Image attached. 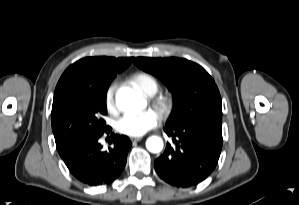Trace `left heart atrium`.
Instances as JSON below:
<instances>
[{
  "label": "left heart atrium",
  "instance_id": "obj_1",
  "mask_svg": "<svg viewBox=\"0 0 299 205\" xmlns=\"http://www.w3.org/2000/svg\"><path fill=\"white\" fill-rule=\"evenodd\" d=\"M158 123L159 115L157 112L148 109L137 114L124 115L117 121L116 129L122 134L139 137L156 127Z\"/></svg>",
  "mask_w": 299,
  "mask_h": 205
}]
</instances>
